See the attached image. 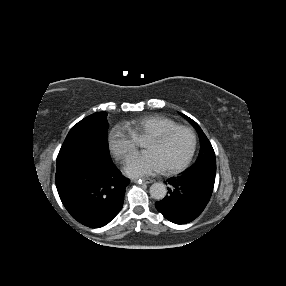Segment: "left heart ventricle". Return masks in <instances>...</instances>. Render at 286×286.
Here are the masks:
<instances>
[{
  "mask_svg": "<svg viewBox=\"0 0 286 286\" xmlns=\"http://www.w3.org/2000/svg\"><path fill=\"white\" fill-rule=\"evenodd\" d=\"M193 138L188 131H179L163 141L146 140L144 148L152 152L163 168L182 162L189 154Z\"/></svg>",
  "mask_w": 286,
  "mask_h": 286,
  "instance_id": "left-heart-ventricle-1",
  "label": "left heart ventricle"
}]
</instances>
